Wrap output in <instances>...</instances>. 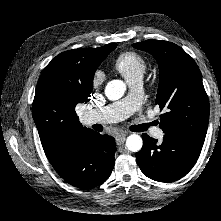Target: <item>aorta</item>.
<instances>
[{"label": "aorta", "mask_w": 221, "mask_h": 221, "mask_svg": "<svg viewBox=\"0 0 221 221\" xmlns=\"http://www.w3.org/2000/svg\"><path fill=\"white\" fill-rule=\"evenodd\" d=\"M126 91V85L122 80H111L105 87V95L111 100L115 101L120 99ZM143 140L138 134H131L127 137L126 147L132 152L141 150Z\"/></svg>", "instance_id": "762f6f07"}]
</instances>
